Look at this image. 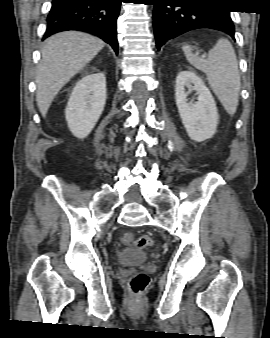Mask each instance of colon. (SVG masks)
Returning a JSON list of instances; mask_svg holds the SVG:
<instances>
[{"label": "colon", "instance_id": "colon-1", "mask_svg": "<svg viewBox=\"0 0 270 338\" xmlns=\"http://www.w3.org/2000/svg\"><path fill=\"white\" fill-rule=\"evenodd\" d=\"M153 243V240L145 235L136 236L132 240V244L134 247L139 249H144L148 245H151ZM148 276L143 273L136 274L130 278L129 286L132 292L135 294H140L144 291L148 284Z\"/></svg>", "mask_w": 270, "mask_h": 338}]
</instances>
